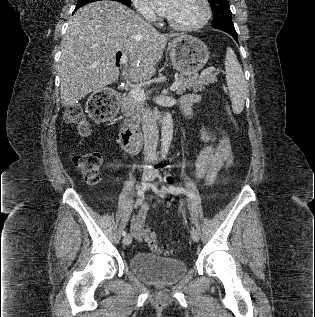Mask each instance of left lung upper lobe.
Returning <instances> with one entry per match:
<instances>
[{"instance_id": "obj_1", "label": "left lung upper lobe", "mask_w": 315, "mask_h": 317, "mask_svg": "<svg viewBox=\"0 0 315 317\" xmlns=\"http://www.w3.org/2000/svg\"><path fill=\"white\" fill-rule=\"evenodd\" d=\"M213 10V27L235 29L228 0H208Z\"/></svg>"}]
</instances>
